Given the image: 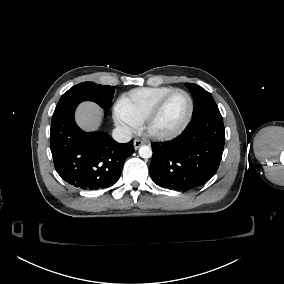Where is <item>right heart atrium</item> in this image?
<instances>
[{"label": "right heart atrium", "mask_w": 284, "mask_h": 284, "mask_svg": "<svg viewBox=\"0 0 284 284\" xmlns=\"http://www.w3.org/2000/svg\"><path fill=\"white\" fill-rule=\"evenodd\" d=\"M119 128L125 133V134H133L136 130V125L134 122L130 121L129 119L116 114Z\"/></svg>", "instance_id": "d8ad5b80"}]
</instances>
